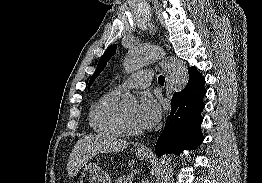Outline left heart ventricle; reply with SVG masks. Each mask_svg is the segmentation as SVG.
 <instances>
[{
	"label": "left heart ventricle",
	"mask_w": 262,
	"mask_h": 183,
	"mask_svg": "<svg viewBox=\"0 0 262 183\" xmlns=\"http://www.w3.org/2000/svg\"><path fill=\"white\" fill-rule=\"evenodd\" d=\"M126 116L128 117V119L137 127H139V125L137 124V114H138V108H133L130 109L128 111L125 112ZM140 128V127H139Z\"/></svg>",
	"instance_id": "b2bd125f"
}]
</instances>
